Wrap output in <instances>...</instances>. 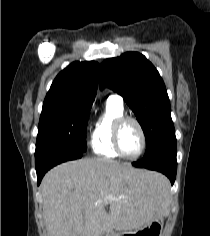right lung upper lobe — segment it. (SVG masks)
<instances>
[{
  "mask_svg": "<svg viewBox=\"0 0 210 236\" xmlns=\"http://www.w3.org/2000/svg\"><path fill=\"white\" fill-rule=\"evenodd\" d=\"M99 64L95 61L73 62L53 81L43 105L65 103L90 109L95 99Z\"/></svg>",
  "mask_w": 210,
  "mask_h": 236,
  "instance_id": "1",
  "label": "right lung upper lobe"
}]
</instances>
